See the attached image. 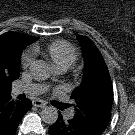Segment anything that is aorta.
I'll return each instance as SVG.
<instances>
[{
  "label": "aorta",
  "instance_id": "1",
  "mask_svg": "<svg viewBox=\"0 0 135 135\" xmlns=\"http://www.w3.org/2000/svg\"><path fill=\"white\" fill-rule=\"evenodd\" d=\"M30 72L35 80H47L52 73L51 67L43 60H35L30 65ZM41 118L47 124H54L58 119V111L55 107H45L41 111Z\"/></svg>",
  "mask_w": 135,
  "mask_h": 135
}]
</instances>
